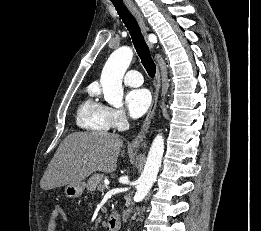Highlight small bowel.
Returning a JSON list of instances; mask_svg holds the SVG:
<instances>
[{
  "mask_svg": "<svg viewBox=\"0 0 261 231\" xmlns=\"http://www.w3.org/2000/svg\"><path fill=\"white\" fill-rule=\"evenodd\" d=\"M59 218L65 219L66 215L63 209L57 206L53 208V210L51 211L48 217V222H47L48 231L56 230Z\"/></svg>",
  "mask_w": 261,
  "mask_h": 231,
  "instance_id": "obj_1",
  "label": "small bowel"
}]
</instances>
